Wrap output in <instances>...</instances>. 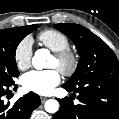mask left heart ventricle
I'll return each instance as SVG.
<instances>
[{
    "label": "left heart ventricle",
    "instance_id": "obj_1",
    "mask_svg": "<svg viewBox=\"0 0 119 119\" xmlns=\"http://www.w3.org/2000/svg\"><path fill=\"white\" fill-rule=\"evenodd\" d=\"M49 67L58 68V61L54 57L51 58Z\"/></svg>",
    "mask_w": 119,
    "mask_h": 119
}]
</instances>
